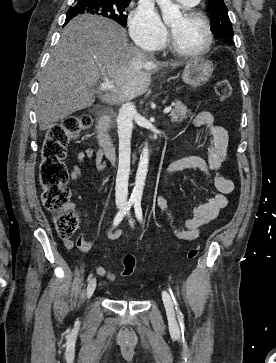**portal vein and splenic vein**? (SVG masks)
I'll use <instances>...</instances> for the list:
<instances>
[{"mask_svg":"<svg viewBox=\"0 0 276 363\" xmlns=\"http://www.w3.org/2000/svg\"><path fill=\"white\" fill-rule=\"evenodd\" d=\"M99 89L100 90H109V91H113V92H116V87L115 85L109 81V79L107 77H104V82L102 84L99 85ZM172 110V107L169 106V107H166L164 110H163V113L167 114L169 113L170 111Z\"/></svg>","mask_w":276,"mask_h":363,"instance_id":"18ae733b","label":"portal vein and splenic vein"}]
</instances>
